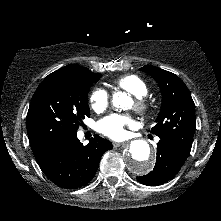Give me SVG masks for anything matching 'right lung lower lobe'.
Masks as SVG:
<instances>
[{"label":"right lung lower lobe","mask_w":221,"mask_h":221,"mask_svg":"<svg viewBox=\"0 0 221 221\" xmlns=\"http://www.w3.org/2000/svg\"><path fill=\"white\" fill-rule=\"evenodd\" d=\"M31 148L40 168L53 183L75 189L92 180L102 155L113 146L98 135L84 146L78 140L77 132H69Z\"/></svg>","instance_id":"obj_1"}]
</instances>
